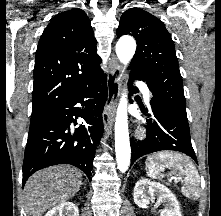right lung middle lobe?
<instances>
[{
  "mask_svg": "<svg viewBox=\"0 0 221 216\" xmlns=\"http://www.w3.org/2000/svg\"><path fill=\"white\" fill-rule=\"evenodd\" d=\"M45 113L32 115L30 121V129L29 132H32L34 129L38 127V125L42 122Z\"/></svg>",
  "mask_w": 221,
  "mask_h": 216,
  "instance_id": "dd1d6c3e",
  "label": "right lung middle lobe"
}]
</instances>
